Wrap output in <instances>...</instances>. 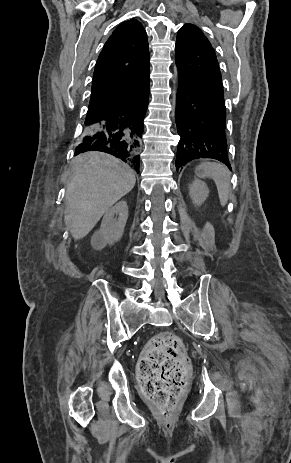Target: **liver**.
<instances>
[{
    "label": "liver",
    "mask_w": 291,
    "mask_h": 463,
    "mask_svg": "<svg viewBox=\"0 0 291 463\" xmlns=\"http://www.w3.org/2000/svg\"><path fill=\"white\" fill-rule=\"evenodd\" d=\"M72 171L66 190L68 210L64 221L72 237L80 240L113 204L133 189L136 179L127 164L96 151L75 157Z\"/></svg>",
    "instance_id": "obj_1"
}]
</instances>
